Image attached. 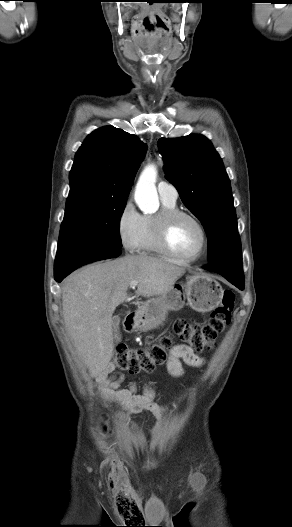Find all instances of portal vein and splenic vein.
<instances>
[{
	"mask_svg": "<svg viewBox=\"0 0 292 527\" xmlns=\"http://www.w3.org/2000/svg\"><path fill=\"white\" fill-rule=\"evenodd\" d=\"M137 285H138V281H132V282L130 283V287H131V288H135Z\"/></svg>",
	"mask_w": 292,
	"mask_h": 527,
	"instance_id": "18ae733b",
	"label": "portal vein and splenic vein"
}]
</instances>
